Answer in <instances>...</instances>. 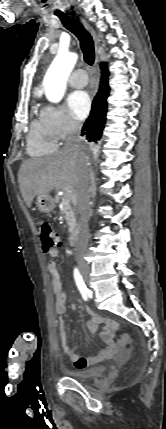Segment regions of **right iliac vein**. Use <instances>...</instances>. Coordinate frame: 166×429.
Masks as SVG:
<instances>
[{
    "mask_svg": "<svg viewBox=\"0 0 166 429\" xmlns=\"http://www.w3.org/2000/svg\"><path fill=\"white\" fill-rule=\"evenodd\" d=\"M80 273H81V275H82V277H83L84 281H85V282H88V279H89V277H88V271H87L86 269H81V270H80Z\"/></svg>",
    "mask_w": 166,
    "mask_h": 429,
    "instance_id": "63e3f726",
    "label": "right iliac vein"
}]
</instances>
